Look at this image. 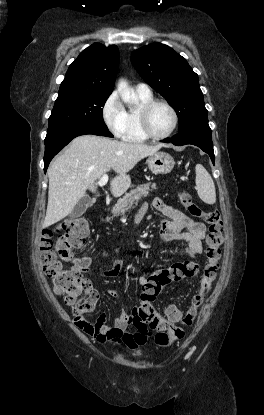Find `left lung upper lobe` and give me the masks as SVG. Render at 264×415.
<instances>
[{
    "mask_svg": "<svg viewBox=\"0 0 264 415\" xmlns=\"http://www.w3.org/2000/svg\"><path fill=\"white\" fill-rule=\"evenodd\" d=\"M131 61L144 81L175 109L178 132L194 123L208 121L198 76L185 58L164 44L152 43L135 50Z\"/></svg>",
    "mask_w": 264,
    "mask_h": 415,
    "instance_id": "obj_1",
    "label": "left lung upper lobe"
}]
</instances>
